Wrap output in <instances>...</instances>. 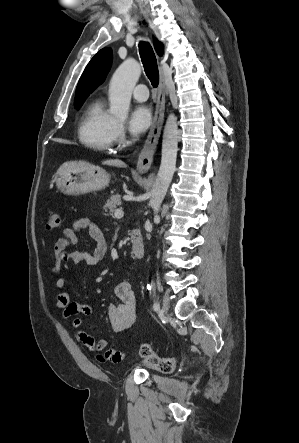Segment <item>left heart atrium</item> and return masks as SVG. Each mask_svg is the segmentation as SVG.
<instances>
[{"label": "left heart atrium", "mask_w": 299, "mask_h": 443, "mask_svg": "<svg viewBox=\"0 0 299 443\" xmlns=\"http://www.w3.org/2000/svg\"><path fill=\"white\" fill-rule=\"evenodd\" d=\"M152 122L150 109L145 105L135 106L130 114L128 128L132 135L144 133Z\"/></svg>", "instance_id": "obj_1"}]
</instances>
